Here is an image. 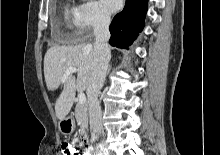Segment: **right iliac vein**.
I'll return each instance as SVG.
<instances>
[{
	"mask_svg": "<svg viewBox=\"0 0 220 155\" xmlns=\"http://www.w3.org/2000/svg\"><path fill=\"white\" fill-rule=\"evenodd\" d=\"M101 155H110L109 153H102Z\"/></svg>",
	"mask_w": 220,
	"mask_h": 155,
	"instance_id": "right-iliac-vein-1",
	"label": "right iliac vein"
}]
</instances>
